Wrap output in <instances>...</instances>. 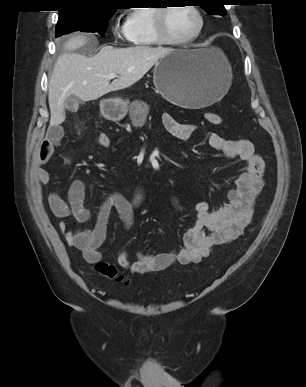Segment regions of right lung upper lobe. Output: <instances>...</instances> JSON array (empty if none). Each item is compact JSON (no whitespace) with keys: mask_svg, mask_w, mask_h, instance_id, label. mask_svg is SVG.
Wrapping results in <instances>:
<instances>
[{"mask_svg":"<svg viewBox=\"0 0 306 387\" xmlns=\"http://www.w3.org/2000/svg\"><path fill=\"white\" fill-rule=\"evenodd\" d=\"M64 5L60 13L65 12H94L101 10H116V0H63Z\"/></svg>","mask_w":306,"mask_h":387,"instance_id":"cb5924a9","label":"right lung upper lobe"}]
</instances>
